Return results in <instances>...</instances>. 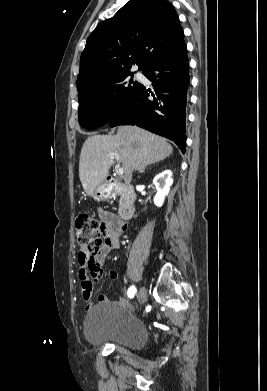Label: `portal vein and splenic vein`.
<instances>
[{"label":"portal vein and splenic vein","instance_id":"portal-vein-and-splenic-vein-1","mask_svg":"<svg viewBox=\"0 0 267 391\" xmlns=\"http://www.w3.org/2000/svg\"><path fill=\"white\" fill-rule=\"evenodd\" d=\"M109 157H110L111 159H116L117 161H119V159H120V156H119L118 154H116V153L110 154ZM116 173H117L118 175H123V174H124V169H123V168H118V169L116 170Z\"/></svg>","mask_w":267,"mask_h":391}]
</instances>
